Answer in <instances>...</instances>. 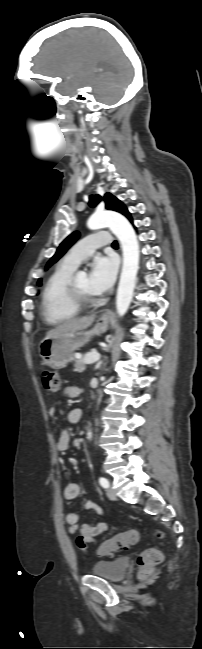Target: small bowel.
I'll use <instances>...</instances> for the list:
<instances>
[{"label":"small bowel","mask_w":202,"mask_h":649,"mask_svg":"<svg viewBox=\"0 0 202 649\" xmlns=\"http://www.w3.org/2000/svg\"><path fill=\"white\" fill-rule=\"evenodd\" d=\"M80 393V390L77 386L68 385L64 389V395L68 398H76ZM56 411V405L51 407L50 415H54ZM82 416V411L80 408H72L68 413V421L71 424H77ZM70 443V434L68 430H63L57 440L56 448L59 451L66 450ZM75 445L79 447L81 445L79 439L75 440ZM80 485L77 482H70L64 488V498L66 501H73L80 494ZM85 508L93 510L96 514L103 516V509L91 502L87 501L85 503ZM65 520L69 526V532L71 534L79 533L76 538L77 547L84 554H88L87 546L90 543H96V537L108 530V524L106 522H95L92 524L80 523V516L73 511H68L65 515Z\"/></svg>","instance_id":"obj_1"}]
</instances>
